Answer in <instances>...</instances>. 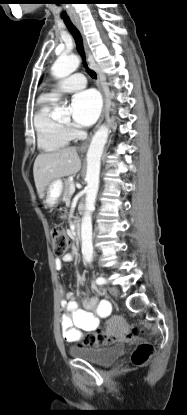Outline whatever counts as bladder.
<instances>
[{"label": "bladder", "instance_id": "bladder-1", "mask_svg": "<svg viewBox=\"0 0 187 415\" xmlns=\"http://www.w3.org/2000/svg\"><path fill=\"white\" fill-rule=\"evenodd\" d=\"M126 350L125 343H117L115 345L103 348L93 347H70L69 355L75 358L84 359L98 366H109L119 358H121Z\"/></svg>", "mask_w": 187, "mask_h": 415}]
</instances>
